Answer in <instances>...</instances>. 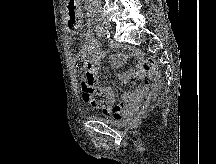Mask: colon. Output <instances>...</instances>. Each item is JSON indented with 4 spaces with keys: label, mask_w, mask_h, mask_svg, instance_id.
Segmentation results:
<instances>
[{
    "label": "colon",
    "mask_w": 216,
    "mask_h": 164,
    "mask_svg": "<svg viewBox=\"0 0 216 164\" xmlns=\"http://www.w3.org/2000/svg\"><path fill=\"white\" fill-rule=\"evenodd\" d=\"M77 65L79 69L85 70V82L84 84L87 87H93L96 79H97V69L92 66L90 63L86 62L84 59L79 58L77 60ZM145 70L149 75H152L155 71V61L152 58H149L145 62ZM134 85V81L130 82Z\"/></svg>",
    "instance_id": "obj_1"
}]
</instances>
